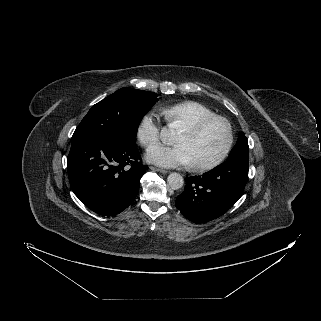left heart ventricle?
Here are the masks:
<instances>
[{
  "instance_id": "obj_1",
  "label": "left heart ventricle",
  "mask_w": 321,
  "mask_h": 321,
  "mask_svg": "<svg viewBox=\"0 0 321 321\" xmlns=\"http://www.w3.org/2000/svg\"><path fill=\"white\" fill-rule=\"evenodd\" d=\"M227 132L220 122L207 125L197 134L181 130L176 143L185 144L191 153L192 164L206 163L215 159L222 151Z\"/></svg>"
}]
</instances>
